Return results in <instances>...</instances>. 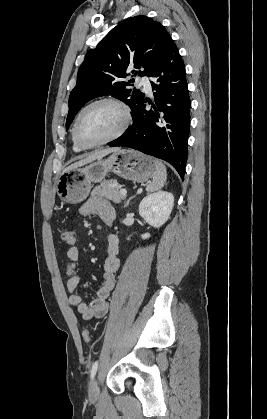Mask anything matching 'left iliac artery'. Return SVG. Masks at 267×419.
I'll return each instance as SVG.
<instances>
[{"label": "left iliac artery", "mask_w": 267, "mask_h": 419, "mask_svg": "<svg viewBox=\"0 0 267 419\" xmlns=\"http://www.w3.org/2000/svg\"><path fill=\"white\" fill-rule=\"evenodd\" d=\"M98 369V361H95L92 365L90 377L93 379Z\"/></svg>", "instance_id": "44dca946"}]
</instances>
